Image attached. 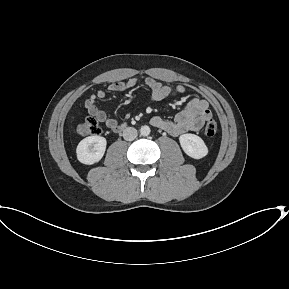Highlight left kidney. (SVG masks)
<instances>
[{
    "mask_svg": "<svg viewBox=\"0 0 289 289\" xmlns=\"http://www.w3.org/2000/svg\"><path fill=\"white\" fill-rule=\"evenodd\" d=\"M179 141L183 151L194 159H201L208 154L204 141L195 134H183L179 137Z\"/></svg>",
    "mask_w": 289,
    "mask_h": 289,
    "instance_id": "1",
    "label": "left kidney"
}]
</instances>
